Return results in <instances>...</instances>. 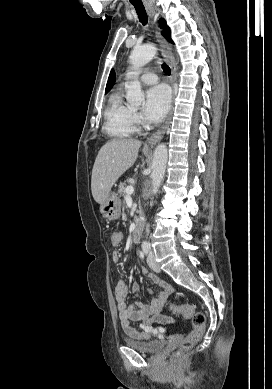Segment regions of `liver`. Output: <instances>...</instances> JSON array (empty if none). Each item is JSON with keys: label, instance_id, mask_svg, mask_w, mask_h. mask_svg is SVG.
Returning a JSON list of instances; mask_svg holds the SVG:
<instances>
[{"label": "liver", "instance_id": "1", "mask_svg": "<svg viewBox=\"0 0 272 389\" xmlns=\"http://www.w3.org/2000/svg\"><path fill=\"white\" fill-rule=\"evenodd\" d=\"M141 141L112 139L98 152L92 169L91 191L94 200L103 204L114 183L136 161Z\"/></svg>", "mask_w": 272, "mask_h": 389}]
</instances>
